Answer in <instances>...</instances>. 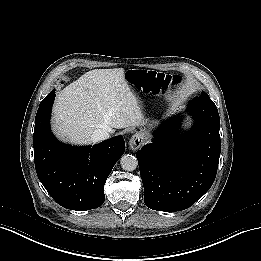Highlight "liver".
<instances>
[{"label": "liver", "instance_id": "1", "mask_svg": "<svg viewBox=\"0 0 261 261\" xmlns=\"http://www.w3.org/2000/svg\"><path fill=\"white\" fill-rule=\"evenodd\" d=\"M124 70L96 69L61 90L55 100L52 129L58 138L77 145L92 143L97 129L145 124L136 97L123 81Z\"/></svg>", "mask_w": 261, "mask_h": 261}]
</instances>
